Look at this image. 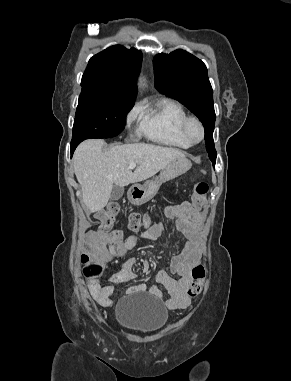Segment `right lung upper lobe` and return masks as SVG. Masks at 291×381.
Returning <instances> with one entry per match:
<instances>
[{
    "instance_id": "obj_1",
    "label": "right lung upper lobe",
    "mask_w": 291,
    "mask_h": 381,
    "mask_svg": "<svg viewBox=\"0 0 291 381\" xmlns=\"http://www.w3.org/2000/svg\"><path fill=\"white\" fill-rule=\"evenodd\" d=\"M142 53L116 45L94 55L82 76V92L106 93L113 97L135 100L136 78Z\"/></svg>"
}]
</instances>
